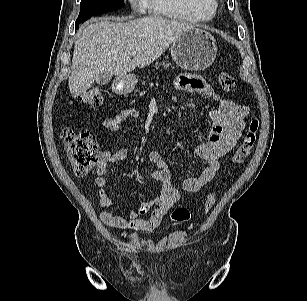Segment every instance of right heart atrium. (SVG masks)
<instances>
[{
	"instance_id": "1",
	"label": "right heart atrium",
	"mask_w": 307,
	"mask_h": 301,
	"mask_svg": "<svg viewBox=\"0 0 307 301\" xmlns=\"http://www.w3.org/2000/svg\"><path fill=\"white\" fill-rule=\"evenodd\" d=\"M142 1V4H143V7H145V5H144V0H130V2L132 3V4H138V3H140Z\"/></svg>"
}]
</instances>
